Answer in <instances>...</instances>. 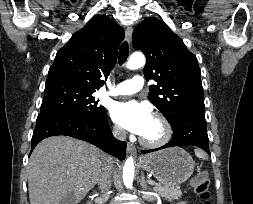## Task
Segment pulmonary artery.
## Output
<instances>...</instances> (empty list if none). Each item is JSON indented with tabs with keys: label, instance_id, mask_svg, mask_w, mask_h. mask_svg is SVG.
<instances>
[{
	"label": "pulmonary artery",
	"instance_id": "1",
	"mask_svg": "<svg viewBox=\"0 0 253 204\" xmlns=\"http://www.w3.org/2000/svg\"><path fill=\"white\" fill-rule=\"evenodd\" d=\"M144 85V79L141 75H135L131 79L122 81L111 92L110 95L122 96L133 95L137 93Z\"/></svg>",
	"mask_w": 253,
	"mask_h": 204
}]
</instances>
